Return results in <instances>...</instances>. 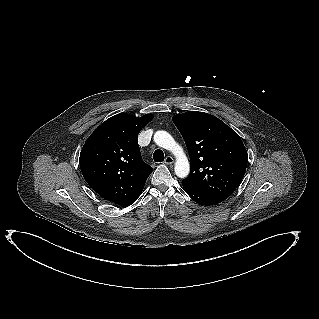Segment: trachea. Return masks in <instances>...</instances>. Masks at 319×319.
Wrapping results in <instances>:
<instances>
[{"label":"trachea","mask_w":319,"mask_h":319,"mask_svg":"<svg viewBox=\"0 0 319 319\" xmlns=\"http://www.w3.org/2000/svg\"><path fill=\"white\" fill-rule=\"evenodd\" d=\"M153 160L155 162H163L164 161V153L162 150L157 149L153 154Z\"/></svg>","instance_id":"obj_1"}]
</instances>
